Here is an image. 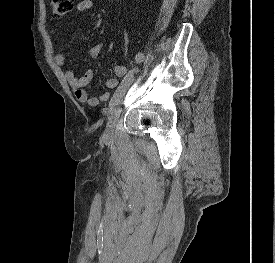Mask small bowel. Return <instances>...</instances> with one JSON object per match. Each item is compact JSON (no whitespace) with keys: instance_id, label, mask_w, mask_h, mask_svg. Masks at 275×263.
<instances>
[{"instance_id":"obj_1","label":"small bowel","mask_w":275,"mask_h":263,"mask_svg":"<svg viewBox=\"0 0 275 263\" xmlns=\"http://www.w3.org/2000/svg\"><path fill=\"white\" fill-rule=\"evenodd\" d=\"M93 7L92 0H81L76 8V14H82L89 11ZM104 46V42H98L91 46L90 55L93 58L99 56ZM56 65L63 68L65 65V57L63 54L58 53L54 56ZM115 77L106 80L105 85L110 90L105 92L100 97H89L85 87L90 84L95 77L92 69H87L83 76L79 77L73 70H65L64 75L74 92L76 99L80 102H86L92 107L99 106L100 104L108 101L112 97V90L118 89L122 84V80L127 76L128 68L124 65L115 66Z\"/></svg>"}]
</instances>
